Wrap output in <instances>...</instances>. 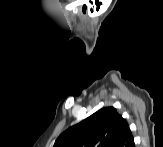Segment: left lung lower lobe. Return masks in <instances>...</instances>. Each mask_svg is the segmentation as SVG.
Returning <instances> with one entry per match:
<instances>
[{"label":"left lung lower lobe","mask_w":163,"mask_h":147,"mask_svg":"<svg viewBox=\"0 0 163 147\" xmlns=\"http://www.w3.org/2000/svg\"><path fill=\"white\" fill-rule=\"evenodd\" d=\"M115 147H135L134 139L129 126L126 127Z\"/></svg>","instance_id":"obj_1"}]
</instances>
